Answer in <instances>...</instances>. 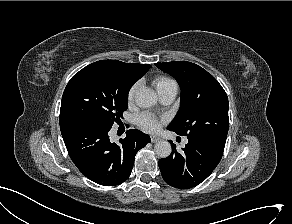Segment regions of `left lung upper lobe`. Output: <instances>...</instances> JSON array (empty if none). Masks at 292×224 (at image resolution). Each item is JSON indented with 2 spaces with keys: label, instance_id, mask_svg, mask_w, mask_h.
Instances as JSON below:
<instances>
[{
  "label": "left lung upper lobe",
  "instance_id": "obj_1",
  "mask_svg": "<svg viewBox=\"0 0 292 224\" xmlns=\"http://www.w3.org/2000/svg\"><path fill=\"white\" fill-rule=\"evenodd\" d=\"M155 65L173 76L181 89L180 108L168 129L188 139L225 146L229 103L219 82L194 63L174 61Z\"/></svg>",
  "mask_w": 292,
  "mask_h": 224
}]
</instances>
